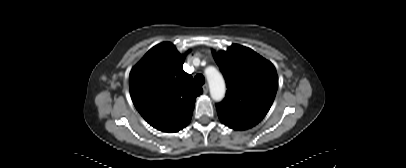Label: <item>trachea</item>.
Listing matches in <instances>:
<instances>
[{"label": "trachea", "instance_id": "3493384b", "mask_svg": "<svg viewBox=\"0 0 406 168\" xmlns=\"http://www.w3.org/2000/svg\"><path fill=\"white\" fill-rule=\"evenodd\" d=\"M194 81H195L196 84H198V85H200V86L205 83L204 76L201 75V74H197V75L195 76V78H194Z\"/></svg>", "mask_w": 406, "mask_h": 168}]
</instances>
